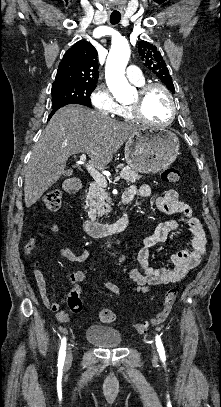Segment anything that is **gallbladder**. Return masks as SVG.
<instances>
[{"label": "gallbladder", "instance_id": "obj_1", "mask_svg": "<svg viewBox=\"0 0 221 407\" xmlns=\"http://www.w3.org/2000/svg\"><path fill=\"white\" fill-rule=\"evenodd\" d=\"M71 173H72V171H71L70 169L65 170V171L63 172V174H64L65 176H69V175H71Z\"/></svg>", "mask_w": 221, "mask_h": 407}]
</instances>
